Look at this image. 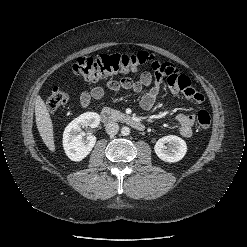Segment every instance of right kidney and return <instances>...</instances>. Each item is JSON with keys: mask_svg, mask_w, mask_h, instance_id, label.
<instances>
[{"mask_svg": "<svg viewBox=\"0 0 247 247\" xmlns=\"http://www.w3.org/2000/svg\"><path fill=\"white\" fill-rule=\"evenodd\" d=\"M100 123V115L95 112H86L70 122L63 133V147L66 155L72 161L83 160L93 149L96 137L88 135L84 138L81 132L85 126L96 128Z\"/></svg>", "mask_w": 247, "mask_h": 247, "instance_id": "right-kidney-1", "label": "right kidney"}]
</instances>
